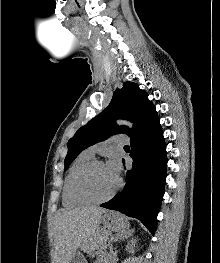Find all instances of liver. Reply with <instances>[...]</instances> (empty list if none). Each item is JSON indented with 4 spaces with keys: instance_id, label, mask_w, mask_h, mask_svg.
<instances>
[{
    "instance_id": "obj_1",
    "label": "liver",
    "mask_w": 220,
    "mask_h": 263,
    "mask_svg": "<svg viewBox=\"0 0 220 263\" xmlns=\"http://www.w3.org/2000/svg\"><path fill=\"white\" fill-rule=\"evenodd\" d=\"M104 208L84 206L62 209L54 221V248L56 263H69L84 240L99 227Z\"/></svg>"
}]
</instances>
